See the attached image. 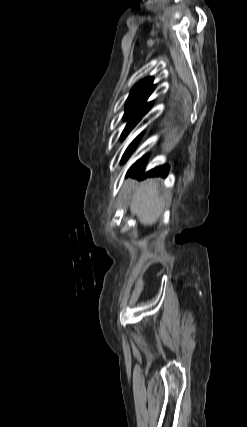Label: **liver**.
I'll list each match as a JSON object with an SVG mask.
<instances>
[{
  "label": "liver",
  "instance_id": "1",
  "mask_svg": "<svg viewBox=\"0 0 247 427\" xmlns=\"http://www.w3.org/2000/svg\"><path fill=\"white\" fill-rule=\"evenodd\" d=\"M132 185L134 189L130 196V211L141 224L150 226L158 220L164 207V199L159 185L154 179L140 184L133 181ZM129 192H131V188Z\"/></svg>",
  "mask_w": 247,
  "mask_h": 427
}]
</instances>
